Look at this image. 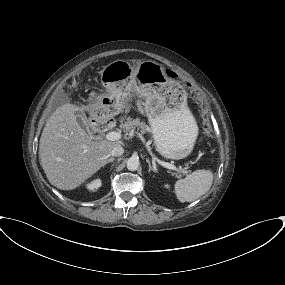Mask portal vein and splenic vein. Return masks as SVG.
<instances>
[{
  "label": "portal vein and splenic vein",
  "instance_id": "portal-vein-and-splenic-vein-1",
  "mask_svg": "<svg viewBox=\"0 0 285 285\" xmlns=\"http://www.w3.org/2000/svg\"><path fill=\"white\" fill-rule=\"evenodd\" d=\"M121 137H122L121 134L118 133V132H115V131L108 132L106 134V136H105V138L107 140H110V141H118V140L121 139ZM148 151L150 152L149 148H148ZM158 162L165 168H168V169H171V170H177V168L174 165L170 164V163H167V162H164V161H160V160H158ZM185 173H187V172H185Z\"/></svg>",
  "mask_w": 285,
  "mask_h": 285
}]
</instances>
